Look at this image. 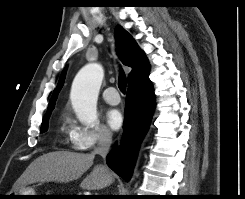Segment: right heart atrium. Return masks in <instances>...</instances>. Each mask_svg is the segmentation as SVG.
<instances>
[{
  "label": "right heart atrium",
  "instance_id": "obj_1",
  "mask_svg": "<svg viewBox=\"0 0 245 199\" xmlns=\"http://www.w3.org/2000/svg\"><path fill=\"white\" fill-rule=\"evenodd\" d=\"M72 147L76 150H90L98 146L108 145L112 141V133L102 124H73L70 133Z\"/></svg>",
  "mask_w": 245,
  "mask_h": 199
}]
</instances>
